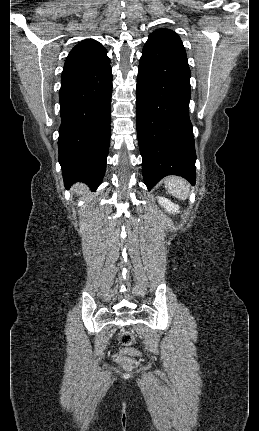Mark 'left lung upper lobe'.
I'll use <instances>...</instances> for the list:
<instances>
[{
  "label": "left lung upper lobe",
  "mask_w": 259,
  "mask_h": 431,
  "mask_svg": "<svg viewBox=\"0 0 259 431\" xmlns=\"http://www.w3.org/2000/svg\"><path fill=\"white\" fill-rule=\"evenodd\" d=\"M148 40L160 43L186 56L185 48L180 37L172 30L158 29L149 35Z\"/></svg>",
  "instance_id": "obj_1"
}]
</instances>
